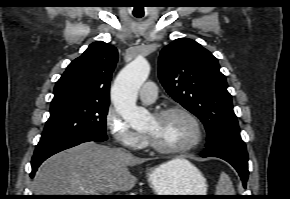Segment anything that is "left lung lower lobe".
I'll use <instances>...</instances> for the list:
<instances>
[{"mask_svg":"<svg viewBox=\"0 0 290 199\" xmlns=\"http://www.w3.org/2000/svg\"><path fill=\"white\" fill-rule=\"evenodd\" d=\"M202 157H217L230 163L239 173L246 188L248 179V154L246 145L241 139H227L214 146L206 147L201 154Z\"/></svg>","mask_w":290,"mask_h":199,"instance_id":"0a47b994","label":"left lung lower lobe"}]
</instances>
